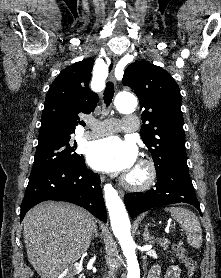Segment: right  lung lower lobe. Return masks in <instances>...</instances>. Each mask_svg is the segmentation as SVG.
Returning a JSON list of instances; mask_svg holds the SVG:
<instances>
[{"mask_svg":"<svg viewBox=\"0 0 221 278\" xmlns=\"http://www.w3.org/2000/svg\"><path fill=\"white\" fill-rule=\"evenodd\" d=\"M46 200L77 204L107 222L100 178L86 168L85 161L52 167L30 177L21 204L20 220L30 208Z\"/></svg>","mask_w":221,"mask_h":278,"instance_id":"1","label":"right lung lower lobe"}]
</instances>
